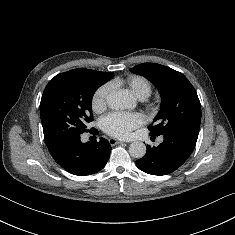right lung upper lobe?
Returning <instances> with one entry per match:
<instances>
[{
	"instance_id": "obj_1",
	"label": "right lung upper lobe",
	"mask_w": 235,
	"mask_h": 235,
	"mask_svg": "<svg viewBox=\"0 0 235 235\" xmlns=\"http://www.w3.org/2000/svg\"><path fill=\"white\" fill-rule=\"evenodd\" d=\"M88 70H90V69H88ZM92 71H94V70H92ZM95 72L100 73V74L105 75V76H109V75L112 74L110 72H98V71H95Z\"/></svg>"
}]
</instances>
